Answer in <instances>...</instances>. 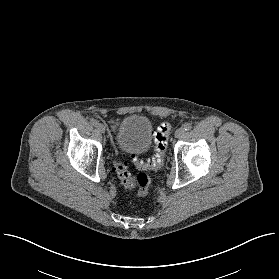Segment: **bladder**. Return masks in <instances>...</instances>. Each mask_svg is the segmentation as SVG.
Returning a JSON list of instances; mask_svg holds the SVG:
<instances>
[{"label":"bladder","instance_id":"1","mask_svg":"<svg viewBox=\"0 0 279 279\" xmlns=\"http://www.w3.org/2000/svg\"><path fill=\"white\" fill-rule=\"evenodd\" d=\"M115 142L126 152L146 151L152 144V126L145 116L117 119Z\"/></svg>","mask_w":279,"mask_h":279}]
</instances>
